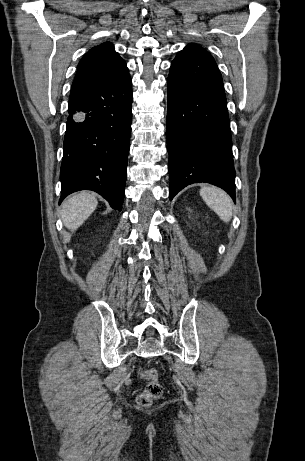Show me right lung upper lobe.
I'll use <instances>...</instances> for the list:
<instances>
[{
  "label": "right lung upper lobe",
  "mask_w": 305,
  "mask_h": 461,
  "mask_svg": "<svg viewBox=\"0 0 305 461\" xmlns=\"http://www.w3.org/2000/svg\"><path fill=\"white\" fill-rule=\"evenodd\" d=\"M128 73L126 63L110 42L90 49L78 64L72 88L106 83Z\"/></svg>",
  "instance_id": "cb5924a9"
}]
</instances>
